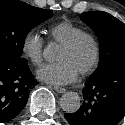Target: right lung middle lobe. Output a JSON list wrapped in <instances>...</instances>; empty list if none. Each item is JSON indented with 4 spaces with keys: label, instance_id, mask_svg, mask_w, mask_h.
Instances as JSON below:
<instances>
[{
    "label": "right lung middle lobe",
    "instance_id": "1",
    "mask_svg": "<svg viewBox=\"0 0 125 125\" xmlns=\"http://www.w3.org/2000/svg\"><path fill=\"white\" fill-rule=\"evenodd\" d=\"M53 16L50 10L18 0H0V55L20 63L25 36L35 26Z\"/></svg>",
    "mask_w": 125,
    "mask_h": 125
}]
</instances>
